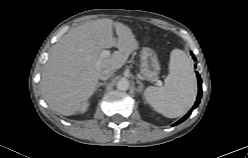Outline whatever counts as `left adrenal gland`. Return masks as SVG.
<instances>
[{
    "label": "left adrenal gland",
    "mask_w": 248,
    "mask_h": 158,
    "mask_svg": "<svg viewBox=\"0 0 248 158\" xmlns=\"http://www.w3.org/2000/svg\"><path fill=\"white\" fill-rule=\"evenodd\" d=\"M136 83L139 85L137 88V91L142 93L144 85L142 84V82L140 80L137 79Z\"/></svg>",
    "instance_id": "obj_1"
}]
</instances>
